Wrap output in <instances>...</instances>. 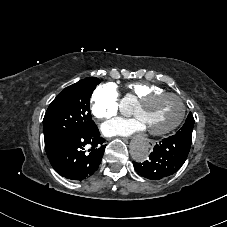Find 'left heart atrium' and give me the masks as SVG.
I'll use <instances>...</instances> for the list:
<instances>
[{"label":"left heart atrium","mask_w":227,"mask_h":227,"mask_svg":"<svg viewBox=\"0 0 227 227\" xmlns=\"http://www.w3.org/2000/svg\"><path fill=\"white\" fill-rule=\"evenodd\" d=\"M102 133L106 136H130L145 130L144 126L137 119H115L110 120L101 127Z\"/></svg>","instance_id":"left-heart-atrium-1"}]
</instances>
